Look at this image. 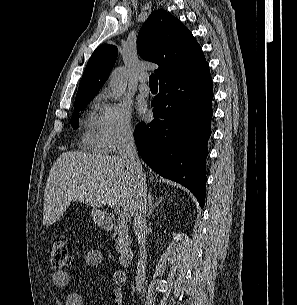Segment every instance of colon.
<instances>
[{
  "mask_svg": "<svg viewBox=\"0 0 297 305\" xmlns=\"http://www.w3.org/2000/svg\"><path fill=\"white\" fill-rule=\"evenodd\" d=\"M51 262L54 268L62 269L73 263V258L68 250L67 239L64 235H57L50 246Z\"/></svg>",
  "mask_w": 297,
  "mask_h": 305,
  "instance_id": "obj_1",
  "label": "colon"
}]
</instances>
